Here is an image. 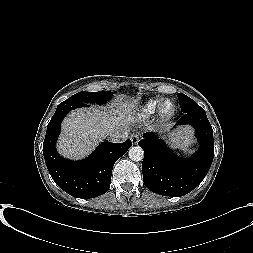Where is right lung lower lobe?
<instances>
[{
	"instance_id": "obj_1",
	"label": "right lung lower lobe",
	"mask_w": 253,
	"mask_h": 253,
	"mask_svg": "<svg viewBox=\"0 0 253 253\" xmlns=\"http://www.w3.org/2000/svg\"><path fill=\"white\" fill-rule=\"evenodd\" d=\"M83 106L87 104L62 102L57 107L47 127L43 154L54 182L70 195L86 199L108 191L114 163L127 152L132 142H103L87 159L80 162L62 158L55 149L61 122L70 110Z\"/></svg>"
}]
</instances>
